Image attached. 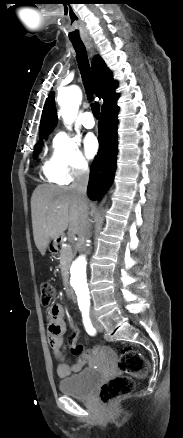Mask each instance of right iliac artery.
Returning <instances> with one entry per match:
<instances>
[{
	"label": "right iliac artery",
	"instance_id": "82829eb1",
	"mask_svg": "<svg viewBox=\"0 0 183 438\" xmlns=\"http://www.w3.org/2000/svg\"><path fill=\"white\" fill-rule=\"evenodd\" d=\"M82 312V318H83V324L85 326V329L87 333L91 336L96 334L95 328L92 326V323L89 318V309H81Z\"/></svg>",
	"mask_w": 183,
	"mask_h": 438
}]
</instances>
